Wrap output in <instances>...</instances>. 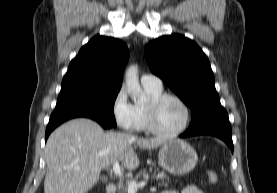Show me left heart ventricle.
Masks as SVG:
<instances>
[{"label":"left heart ventricle","instance_id":"1","mask_svg":"<svg viewBox=\"0 0 277 193\" xmlns=\"http://www.w3.org/2000/svg\"><path fill=\"white\" fill-rule=\"evenodd\" d=\"M156 118L157 124L161 130L171 132L183 125L185 121V111L177 101L167 99L159 105Z\"/></svg>","mask_w":277,"mask_h":193}]
</instances>
